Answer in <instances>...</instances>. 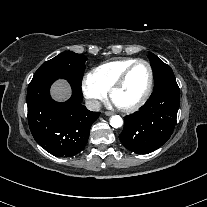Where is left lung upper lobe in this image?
I'll list each match as a JSON object with an SVG mask.
<instances>
[{
	"label": "left lung upper lobe",
	"mask_w": 207,
	"mask_h": 207,
	"mask_svg": "<svg viewBox=\"0 0 207 207\" xmlns=\"http://www.w3.org/2000/svg\"><path fill=\"white\" fill-rule=\"evenodd\" d=\"M148 57L154 71V90L168 84H176V79L170 66L151 52H149Z\"/></svg>",
	"instance_id": "5c2ea615"
}]
</instances>
